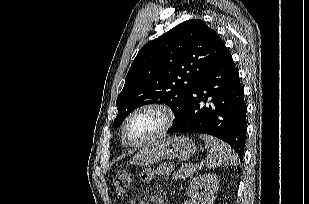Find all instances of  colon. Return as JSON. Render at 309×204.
I'll return each mask as SVG.
<instances>
[{"instance_id": "colon-1", "label": "colon", "mask_w": 309, "mask_h": 204, "mask_svg": "<svg viewBox=\"0 0 309 204\" xmlns=\"http://www.w3.org/2000/svg\"><path fill=\"white\" fill-rule=\"evenodd\" d=\"M132 176L126 171H120L114 178L113 184L118 196H124L129 189Z\"/></svg>"}]
</instances>
